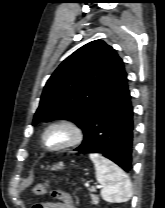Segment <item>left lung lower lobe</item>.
Returning <instances> with one entry per match:
<instances>
[{
  "instance_id": "obj_1",
  "label": "left lung lower lobe",
  "mask_w": 165,
  "mask_h": 208,
  "mask_svg": "<svg viewBox=\"0 0 165 208\" xmlns=\"http://www.w3.org/2000/svg\"><path fill=\"white\" fill-rule=\"evenodd\" d=\"M134 120L125 70L96 108L84 130V140L75 149L81 153H101L124 171L132 170Z\"/></svg>"
}]
</instances>
